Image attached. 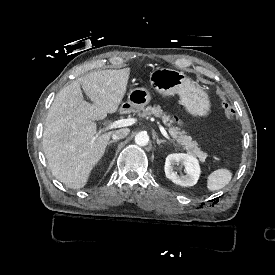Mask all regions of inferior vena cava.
<instances>
[{
  "mask_svg": "<svg viewBox=\"0 0 275 275\" xmlns=\"http://www.w3.org/2000/svg\"><path fill=\"white\" fill-rule=\"evenodd\" d=\"M130 130L127 128L115 130L112 133V139L114 140H120L125 138L129 134Z\"/></svg>",
  "mask_w": 275,
  "mask_h": 275,
  "instance_id": "inferior-vena-cava-1",
  "label": "inferior vena cava"
}]
</instances>
